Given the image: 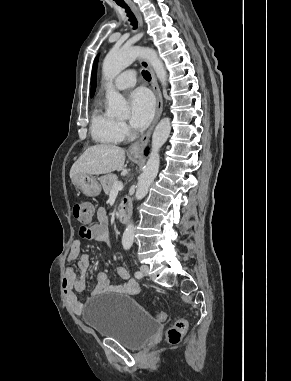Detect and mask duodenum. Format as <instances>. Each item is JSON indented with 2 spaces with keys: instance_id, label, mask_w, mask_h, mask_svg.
Segmentation results:
<instances>
[{
  "instance_id": "duodenum-1",
  "label": "duodenum",
  "mask_w": 291,
  "mask_h": 381,
  "mask_svg": "<svg viewBox=\"0 0 291 381\" xmlns=\"http://www.w3.org/2000/svg\"><path fill=\"white\" fill-rule=\"evenodd\" d=\"M129 207H130L129 201L124 200L121 202L118 214H119V220L122 223H126L129 219Z\"/></svg>"
}]
</instances>
